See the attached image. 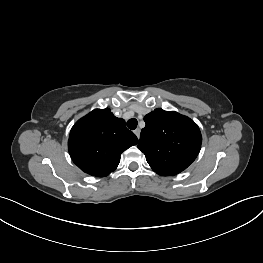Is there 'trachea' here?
Listing matches in <instances>:
<instances>
[{
    "instance_id": "1",
    "label": "trachea",
    "mask_w": 263,
    "mask_h": 263,
    "mask_svg": "<svg viewBox=\"0 0 263 263\" xmlns=\"http://www.w3.org/2000/svg\"><path fill=\"white\" fill-rule=\"evenodd\" d=\"M137 119H135V118H132V119H130V120H128L127 121V127L129 128V129H131V130H134V129H136V127H137Z\"/></svg>"
}]
</instances>
